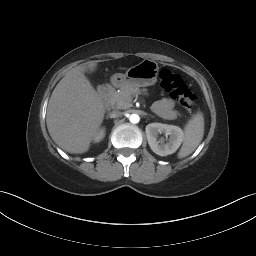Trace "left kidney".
<instances>
[{
  "instance_id": "obj_1",
  "label": "left kidney",
  "mask_w": 256,
  "mask_h": 256,
  "mask_svg": "<svg viewBox=\"0 0 256 256\" xmlns=\"http://www.w3.org/2000/svg\"><path fill=\"white\" fill-rule=\"evenodd\" d=\"M169 136L168 142L164 143L159 134ZM146 136L152 151L160 156H167L176 152L184 140V133L181 128L174 125L162 123H150L146 126Z\"/></svg>"
}]
</instances>
